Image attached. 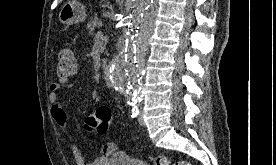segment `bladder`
<instances>
[{"mask_svg":"<svg viewBox=\"0 0 276 165\" xmlns=\"http://www.w3.org/2000/svg\"><path fill=\"white\" fill-rule=\"evenodd\" d=\"M109 165H149L148 163L129 157L125 154H117L112 158Z\"/></svg>","mask_w":276,"mask_h":165,"instance_id":"bladder-1","label":"bladder"}]
</instances>
